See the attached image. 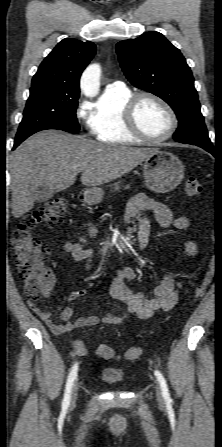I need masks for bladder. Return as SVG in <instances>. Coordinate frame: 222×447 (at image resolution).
Listing matches in <instances>:
<instances>
[{
	"instance_id": "bladder-1",
	"label": "bladder",
	"mask_w": 222,
	"mask_h": 447,
	"mask_svg": "<svg viewBox=\"0 0 222 447\" xmlns=\"http://www.w3.org/2000/svg\"><path fill=\"white\" fill-rule=\"evenodd\" d=\"M99 377L102 381L108 384H116L124 381V372L116 369H103Z\"/></svg>"
}]
</instances>
